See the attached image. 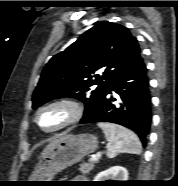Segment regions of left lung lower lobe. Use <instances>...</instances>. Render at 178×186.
Masks as SVG:
<instances>
[{"mask_svg":"<svg viewBox=\"0 0 178 186\" xmlns=\"http://www.w3.org/2000/svg\"><path fill=\"white\" fill-rule=\"evenodd\" d=\"M119 96V104L112 97ZM152 120L151 97L147 69L142 60L135 67L120 74L106 91L101 103L84 114L81 123L110 122L134 131L146 145Z\"/></svg>","mask_w":178,"mask_h":186,"instance_id":"1","label":"left lung lower lobe"}]
</instances>
